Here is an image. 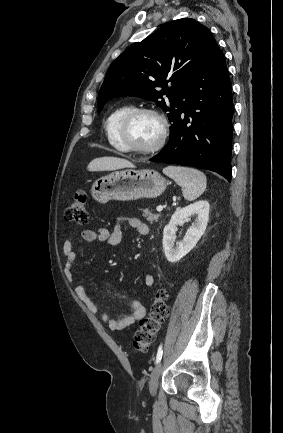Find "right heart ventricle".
Here are the masks:
<instances>
[{"instance_id": "1", "label": "right heart ventricle", "mask_w": 283, "mask_h": 433, "mask_svg": "<svg viewBox=\"0 0 283 433\" xmlns=\"http://www.w3.org/2000/svg\"><path fill=\"white\" fill-rule=\"evenodd\" d=\"M132 109L130 105H123L113 110L104 122V130L110 145L118 152H126L118 139V128L123 116Z\"/></svg>"}]
</instances>
